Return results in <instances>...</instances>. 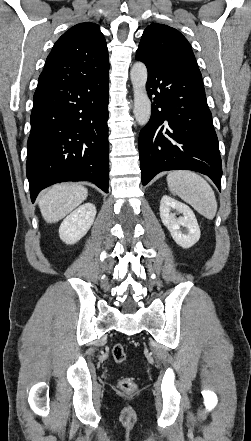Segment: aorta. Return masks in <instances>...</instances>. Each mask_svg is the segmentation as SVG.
I'll list each match as a JSON object with an SVG mask.
<instances>
[{"label": "aorta", "mask_w": 251, "mask_h": 441, "mask_svg": "<svg viewBox=\"0 0 251 441\" xmlns=\"http://www.w3.org/2000/svg\"><path fill=\"white\" fill-rule=\"evenodd\" d=\"M147 68L142 62H136L130 71L134 91V116L137 123L144 126L151 114V102L146 92Z\"/></svg>", "instance_id": "obj_1"}]
</instances>
